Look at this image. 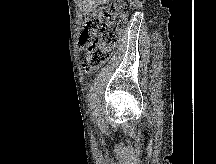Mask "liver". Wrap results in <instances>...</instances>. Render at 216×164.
I'll use <instances>...</instances> for the list:
<instances>
[{"mask_svg":"<svg viewBox=\"0 0 216 164\" xmlns=\"http://www.w3.org/2000/svg\"><path fill=\"white\" fill-rule=\"evenodd\" d=\"M86 5L84 6L85 11L88 13L98 7L101 4H106L111 0H84Z\"/></svg>","mask_w":216,"mask_h":164,"instance_id":"obj_1","label":"liver"}]
</instances>
